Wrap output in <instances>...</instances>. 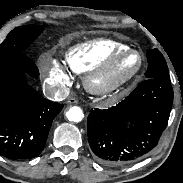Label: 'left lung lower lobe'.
Listing matches in <instances>:
<instances>
[{
	"mask_svg": "<svg viewBox=\"0 0 183 183\" xmlns=\"http://www.w3.org/2000/svg\"><path fill=\"white\" fill-rule=\"evenodd\" d=\"M172 101L170 80L148 78L118 105L93 110L87 127L95 158L120 166L148 155L167 126Z\"/></svg>",
	"mask_w": 183,
	"mask_h": 183,
	"instance_id": "0a47b994",
	"label": "left lung lower lobe"
}]
</instances>
